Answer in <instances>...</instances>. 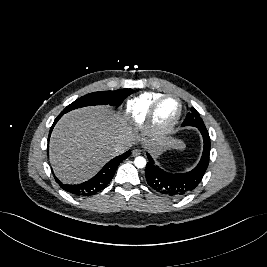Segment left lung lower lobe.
<instances>
[{"label":"left lung lower lobe","instance_id":"0a47b994","mask_svg":"<svg viewBox=\"0 0 267 267\" xmlns=\"http://www.w3.org/2000/svg\"><path fill=\"white\" fill-rule=\"evenodd\" d=\"M203 136L204 148L198 165L189 172L170 173L156 166L153 158L147 153L149 162L145 176L148 185L156 192L172 198H180L191 193L201 182L209 164L210 137L206 127L198 128Z\"/></svg>","mask_w":267,"mask_h":267}]
</instances>
